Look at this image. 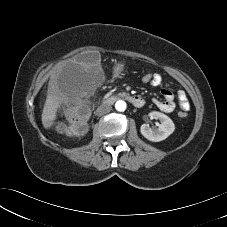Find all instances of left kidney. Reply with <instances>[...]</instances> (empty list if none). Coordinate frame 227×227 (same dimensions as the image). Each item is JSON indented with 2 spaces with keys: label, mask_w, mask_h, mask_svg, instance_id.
<instances>
[{
  "label": "left kidney",
  "mask_w": 227,
  "mask_h": 227,
  "mask_svg": "<svg viewBox=\"0 0 227 227\" xmlns=\"http://www.w3.org/2000/svg\"><path fill=\"white\" fill-rule=\"evenodd\" d=\"M150 118L158 119L160 124L157 127H150L149 124L141 125V134L152 142H159L166 139L175 130L173 121L165 114L160 112H151Z\"/></svg>",
  "instance_id": "obj_1"
}]
</instances>
